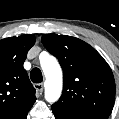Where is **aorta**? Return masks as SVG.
Returning a JSON list of instances; mask_svg holds the SVG:
<instances>
[{
  "mask_svg": "<svg viewBox=\"0 0 119 119\" xmlns=\"http://www.w3.org/2000/svg\"><path fill=\"white\" fill-rule=\"evenodd\" d=\"M41 68L46 77L45 99L50 103L56 102L62 91V70L56 58L46 54L40 59Z\"/></svg>",
  "mask_w": 119,
  "mask_h": 119,
  "instance_id": "1",
  "label": "aorta"
}]
</instances>
